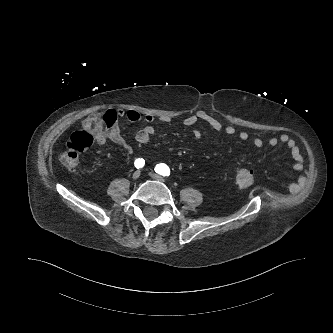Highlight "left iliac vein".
Segmentation results:
<instances>
[{
    "mask_svg": "<svg viewBox=\"0 0 333 333\" xmlns=\"http://www.w3.org/2000/svg\"><path fill=\"white\" fill-rule=\"evenodd\" d=\"M149 175L153 180H156V181H159V182H162V183L166 182L165 179L162 176L158 175V174L150 173Z\"/></svg>",
    "mask_w": 333,
    "mask_h": 333,
    "instance_id": "obj_1",
    "label": "left iliac vein"
}]
</instances>
